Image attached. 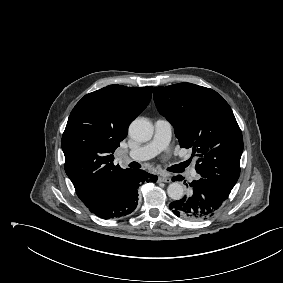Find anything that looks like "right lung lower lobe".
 <instances>
[{"label":"right lung lower lobe","instance_id":"right-lung-lower-lobe-1","mask_svg":"<svg viewBox=\"0 0 283 283\" xmlns=\"http://www.w3.org/2000/svg\"><path fill=\"white\" fill-rule=\"evenodd\" d=\"M158 177L142 170H131L123 183L95 203L87 206L89 210L101 218H119L130 214L138 204L137 188L139 184Z\"/></svg>","mask_w":283,"mask_h":283}]
</instances>
